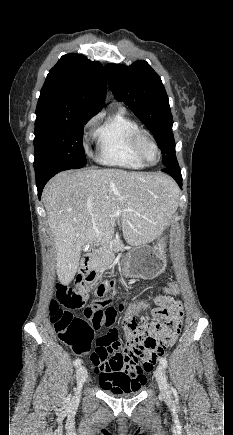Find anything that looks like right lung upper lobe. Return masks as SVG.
Wrapping results in <instances>:
<instances>
[{
	"label": "right lung upper lobe",
	"instance_id": "obj_1",
	"mask_svg": "<svg viewBox=\"0 0 233 435\" xmlns=\"http://www.w3.org/2000/svg\"><path fill=\"white\" fill-rule=\"evenodd\" d=\"M103 66L76 53L66 54L49 71L38 99V117L95 115L104 106Z\"/></svg>",
	"mask_w": 233,
	"mask_h": 435
}]
</instances>
